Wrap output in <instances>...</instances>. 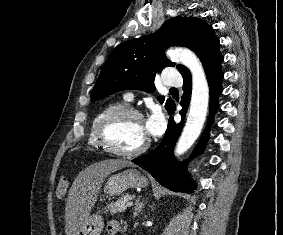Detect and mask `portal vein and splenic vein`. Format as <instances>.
<instances>
[{
  "label": "portal vein and splenic vein",
  "instance_id": "portal-vein-and-splenic-vein-1",
  "mask_svg": "<svg viewBox=\"0 0 283 235\" xmlns=\"http://www.w3.org/2000/svg\"><path fill=\"white\" fill-rule=\"evenodd\" d=\"M132 205H133V202L130 201V202L128 203V207H131Z\"/></svg>",
  "mask_w": 283,
  "mask_h": 235
}]
</instances>
